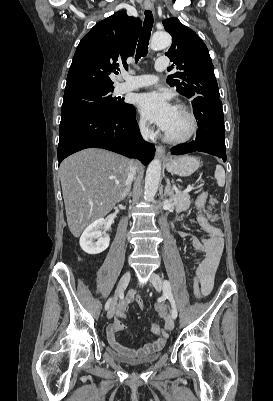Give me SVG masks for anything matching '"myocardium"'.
<instances>
[{"instance_id":"myocardium-1","label":"myocardium","mask_w":273,"mask_h":401,"mask_svg":"<svg viewBox=\"0 0 273 401\" xmlns=\"http://www.w3.org/2000/svg\"><path fill=\"white\" fill-rule=\"evenodd\" d=\"M175 109L180 110L182 113H184L190 120L191 122V129L188 134L185 136L181 137H176V136H171L167 134L165 131L163 132V137L168 143H173V144H180V143H185L193 139L199 129V121L197 116L194 114L193 111H191L188 107L182 104H177L175 106Z\"/></svg>"}]
</instances>
